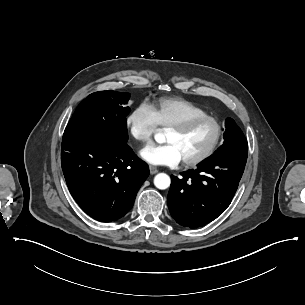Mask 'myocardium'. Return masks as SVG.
I'll return each mask as SVG.
<instances>
[{"label": "myocardium", "instance_id": "obj_1", "mask_svg": "<svg viewBox=\"0 0 305 305\" xmlns=\"http://www.w3.org/2000/svg\"><path fill=\"white\" fill-rule=\"evenodd\" d=\"M205 121H213L217 124L218 127V134L217 138L214 141V143L209 147L203 154L200 156L193 158V159H185L183 160V163L186 167H194L203 164L207 160H209L220 148L224 136H225V130L226 126L225 123L222 119H220L217 116L211 115V114H206L202 116H195L191 118H187L185 120L176 122L174 124H171L168 126L169 130H174V131H186L190 129L192 126L205 122Z\"/></svg>", "mask_w": 305, "mask_h": 305}]
</instances>
